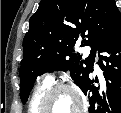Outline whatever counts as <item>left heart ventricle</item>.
Wrapping results in <instances>:
<instances>
[{
    "mask_svg": "<svg viewBox=\"0 0 121 113\" xmlns=\"http://www.w3.org/2000/svg\"><path fill=\"white\" fill-rule=\"evenodd\" d=\"M76 105V100L73 95L67 91L58 92L51 103V107L49 109L55 112H69L73 110Z\"/></svg>",
    "mask_w": 121,
    "mask_h": 113,
    "instance_id": "1",
    "label": "left heart ventricle"
}]
</instances>
